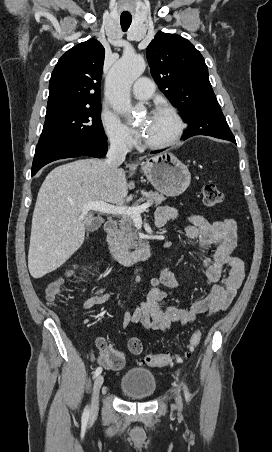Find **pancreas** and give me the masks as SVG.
Listing matches in <instances>:
<instances>
[{
  "mask_svg": "<svg viewBox=\"0 0 272 452\" xmlns=\"http://www.w3.org/2000/svg\"><path fill=\"white\" fill-rule=\"evenodd\" d=\"M165 196L159 194L158 192L150 191L145 196L141 197L136 203L135 207L139 206L142 202H148L151 205L158 206L164 200ZM120 230H119V240L120 244L123 248L129 249H139L143 245L142 239L138 237L137 230L135 228V224L133 218L125 215L122 216L120 220Z\"/></svg>",
  "mask_w": 272,
  "mask_h": 452,
  "instance_id": "cf45deb5",
  "label": "pancreas"
}]
</instances>
